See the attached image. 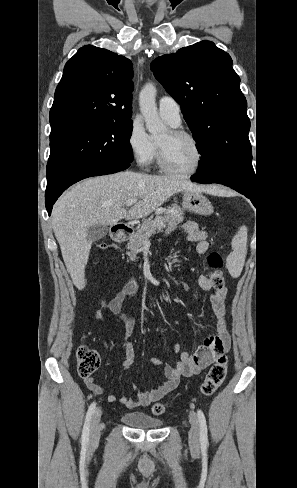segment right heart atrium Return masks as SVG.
<instances>
[{
  "label": "right heart atrium",
  "mask_w": 297,
  "mask_h": 488,
  "mask_svg": "<svg viewBox=\"0 0 297 488\" xmlns=\"http://www.w3.org/2000/svg\"><path fill=\"white\" fill-rule=\"evenodd\" d=\"M126 140L131 154L139 164L145 165L152 160L155 143L147 134L141 118L132 119Z\"/></svg>",
  "instance_id": "obj_1"
}]
</instances>
